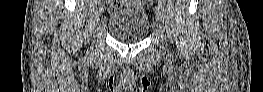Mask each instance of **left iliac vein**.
<instances>
[{"mask_svg":"<svg viewBox=\"0 0 263 92\" xmlns=\"http://www.w3.org/2000/svg\"><path fill=\"white\" fill-rule=\"evenodd\" d=\"M160 3L161 0H158V2H154V7L160 8ZM155 18H157L159 24L161 25L162 23H164V15H162L161 10L157 9L156 13H155ZM161 29H164L163 27H161Z\"/></svg>","mask_w":263,"mask_h":92,"instance_id":"left-iliac-vein-1","label":"left iliac vein"}]
</instances>
